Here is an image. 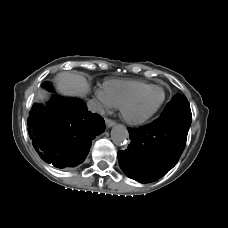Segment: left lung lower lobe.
Segmentation results:
<instances>
[{
  "label": "left lung lower lobe",
  "mask_w": 228,
  "mask_h": 228,
  "mask_svg": "<svg viewBox=\"0 0 228 228\" xmlns=\"http://www.w3.org/2000/svg\"><path fill=\"white\" fill-rule=\"evenodd\" d=\"M191 116L162 113L150 124L128 128L131 143L118 152L121 169L131 179L155 181L173 168L186 144Z\"/></svg>",
  "instance_id": "obj_1"
}]
</instances>
